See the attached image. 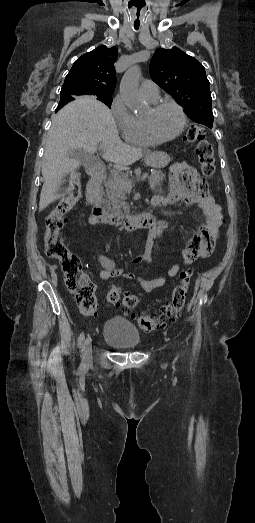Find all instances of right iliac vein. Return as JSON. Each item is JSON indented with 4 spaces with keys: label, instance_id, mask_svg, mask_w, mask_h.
<instances>
[{
    "label": "right iliac vein",
    "instance_id": "1",
    "mask_svg": "<svg viewBox=\"0 0 255 523\" xmlns=\"http://www.w3.org/2000/svg\"><path fill=\"white\" fill-rule=\"evenodd\" d=\"M83 357H84L85 361H89L92 357V345H91L90 338H87L85 340Z\"/></svg>",
    "mask_w": 255,
    "mask_h": 523
}]
</instances>
